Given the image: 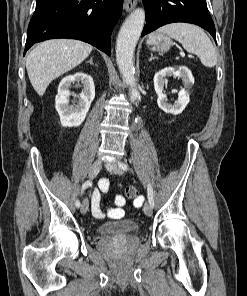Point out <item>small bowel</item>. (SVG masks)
I'll use <instances>...</instances> for the list:
<instances>
[{
	"mask_svg": "<svg viewBox=\"0 0 247 296\" xmlns=\"http://www.w3.org/2000/svg\"><path fill=\"white\" fill-rule=\"evenodd\" d=\"M109 180L104 178L101 179L98 188L95 189L92 194H91V212L92 214L99 219H102L105 217L106 213L103 211L101 208V195L102 193H106L109 190ZM119 202V203H118ZM143 203V198L138 197L133 201V206L134 207H140ZM115 204L117 206H123L125 204V199L121 195H117L115 197ZM108 215L112 218H118L122 216V209L121 208H115V209H109L107 211ZM117 213H120V216H117Z\"/></svg>",
	"mask_w": 247,
	"mask_h": 296,
	"instance_id": "small-bowel-1",
	"label": "small bowel"
}]
</instances>
